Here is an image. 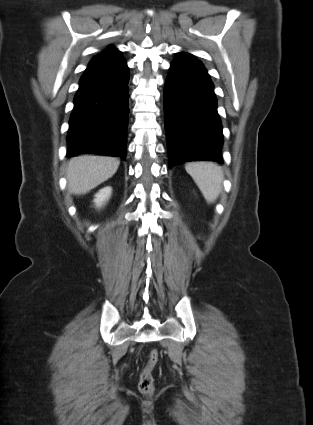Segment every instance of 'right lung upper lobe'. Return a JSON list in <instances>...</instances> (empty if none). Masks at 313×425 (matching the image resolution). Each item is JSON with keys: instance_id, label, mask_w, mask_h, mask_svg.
Here are the masks:
<instances>
[{"instance_id": "cb5924a9", "label": "right lung upper lobe", "mask_w": 313, "mask_h": 425, "mask_svg": "<svg viewBox=\"0 0 313 425\" xmlns=\"http://www.w3.org/2000/svg\"><path fill=\"white\" fill-rule=\"evenodd\" d=\"M101 54L121 56V52L114 46H108Z\"/></svg>"}]
</instances>
